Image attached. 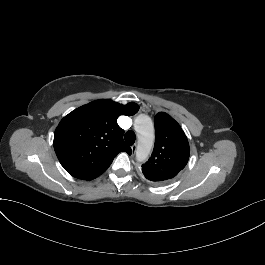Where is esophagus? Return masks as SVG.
Segmentation results:
<instances>
[{"label":"esophagus","instance_id":"34e87169","mask_svg":"<svg viewBox=\"0 0 265 265\" xmlns=\"http://www.w3.org/2000/svg\"><path fill=\"white\" fill-rule=\"evenodd\" d=\"M131 148H132V152L135 153L137 150V144H134Z\"/></svg>","mask_w":265,"mask_h":265}]
</instances>
